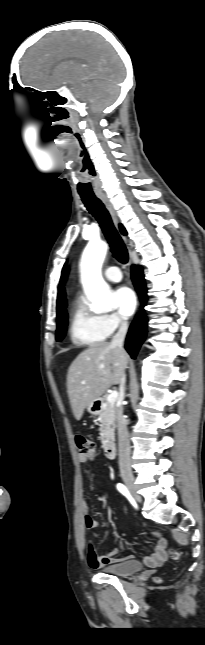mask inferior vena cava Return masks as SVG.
Returning a JSON list of instances; mask_svg holds the SVG:
<instances>
[{
	"instance_id": "1",
	"label": "inferior vena cava",
	"mask_w": 205,
	"mask_h": 645,
	"mask_svg": "<svg viewBox=\"0 0 205 645\" xmlns=\"http://www.w3.org/2000/svg\"><path fill=\"white\" fill-rule=\"evenodd\" d=\"M128 329V323L121 320L118 332L113 336L111 345L123 349V342ZM126 376L123 374L120 382V395L121 399L124 398ZM116 423L118 430V446H119V467L121 471L131 472L130 463V441L127 430V424L123 416V407L119 406L116 409Z\"/></svg>"
}]
</instances>
